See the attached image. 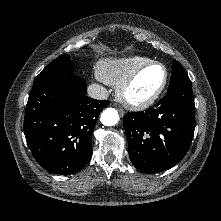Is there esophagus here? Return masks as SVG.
Here are the masks:
<instances>
[{"label":"esophagus","instance_id":"obj_1","mask_svg":"<svg viewBox=\"0 0 221 221\" xmlns=\"http://www.w3.org/2000/svg\"><path fill=\"white\" fill-rule=\"evenodd\" d=\"M114 106L117 107V109H118L120 115L123 116V115H124V110L119 106V104L114 103Z\"/></svg>","mask_w":221,"mask_h":221}]
</instances>
